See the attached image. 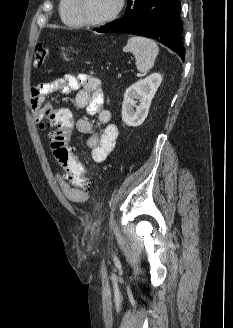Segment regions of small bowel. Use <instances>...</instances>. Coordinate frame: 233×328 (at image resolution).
Instances as JSON below:
<instances>
[{
    "instance_id": "small-bowel-1",
    "label": "small bowel",
    "mask_w": 233,
    "mask_h": 328,
    "mask_svg": "<svg viewBox=\"0 0 233 328\" xmlns=\"http://www.w3.org/2000/svg\"><path fill=\"white\" fill-rule=\"evenodd\" d=\"M56 90L64 94L76 91L75 104L78 108L85 109L89 115H97L99 123L103 126L101 134H96L93 125L87 118H81L76 122L77 130L88 135L86 144L95 162H103L114 149L119 130L112 122L111 112L104 105V90L102 81L88 74L64 75L45 83H41L31 89V108L36 119H45L55 107L45 101V96ZM63 175H57V179L65 196L74 202H84L88 199L85 190L70 182L68 171L60 166Z\"/></svg>"
}]
</instances>
